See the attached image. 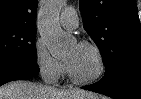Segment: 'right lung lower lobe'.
I'll list each match as a JSON object with an SVG mask.
<instances>
[{
	"label": "right lung lower lobe",
	"mask_w": 141,
	"mask_h": 99,
	"mask_svg": "<svg viewBox=\"0 0 141 99\" xmlns=\"http://www.w3.org/2000/svg\"><path fill=\"white\" fill-rule=\"evenodd\" d=\"M38 72V65L13 62L0 64V86L13 80L29 79Z\"/></svg>",
	"instance_id": "obj_1"
}]
</instances>
